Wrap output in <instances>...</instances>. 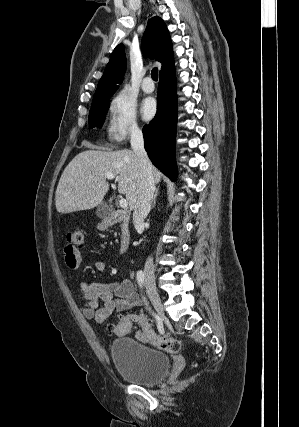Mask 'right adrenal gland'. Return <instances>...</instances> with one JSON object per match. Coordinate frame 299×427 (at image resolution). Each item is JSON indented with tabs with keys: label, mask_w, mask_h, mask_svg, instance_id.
I'll return each instance as SVG.
<instances>
[{
	"label": "right adrenal gland",
	"mask_w": 299,
	"mask_h": 427,
	"mask_svg": "<svg viewBox=\"0 0 299 427\" xmlns=\"http://www.w3.org/2000/svg\"><path fill=\"white\" fill-rule=\"evenodd\" d=\"M157 194H158V189H156L155 194H154L152 208H154V207H155Z\"/></svg>",
	"instance_id": "1"
}]
</instances>
